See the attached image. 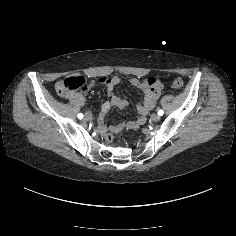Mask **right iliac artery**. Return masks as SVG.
Returning <instances> with one entry per match:
<instances>
[{"mask_svg": "<svg viewBox=\"0 0 236 236\" xmlns=\"http://www.w3.org/2000/svg\"><path fill=\"white\" fill-rule=\"evenodd\" d=\"M77 117H78L79 119H82V118H83V114H82V113H79V114L77 115Z\"/></svg>", "mask_w": 236, "mask_h": 236, "instance_id": "right-iliac-artery-1", "label": "right iliac artery"}]
</instances>
